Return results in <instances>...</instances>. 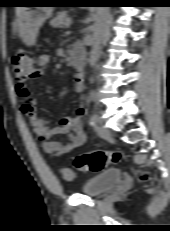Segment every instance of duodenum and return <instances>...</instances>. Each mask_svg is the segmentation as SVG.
<instances>
[{"label":"duodenum","instance_id":"duodenum-1","mask_svg":"<svg viewBox=\"0 0 170 231\" xmlns=\"http://www.w3.org/2000/svg\"><path fill=\"white\" fill-rule=\"evenodd\" d=\"M69 63L75 67L78 73L82 76L84 74V55L81 51H73L69 54Z\"/></svg>","mask_w":170,"mask_h":231}]
</instances>
